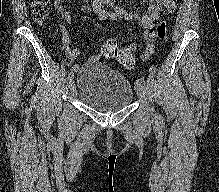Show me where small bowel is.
I'll list each match as a JSON object with an SVG mask.
<instances>
[{
  "instance_id": "obj_1",
  "label": "small bowel",
  "mask_w": 219,
  "mask_h": 192,
  "mask_svg": "<svg viewBox=\"0 0 219 192\" xmlns=\"http://www.w3.org/2000/svg\"><path fill=\"white\" fill-rule=\"evenodd\" d=\"M110 0H96L94 3V10L100 16L102 20H119L124 19L130 22H136L139 28L143 31V36L147 42L152 40V30L155 22L159 19L161 14L172 13L176 9L174 0H149V5L146 7L144 14L138 16L137 14L128 11L122 7H116L115 12H107L103 9L104 3H109ZM54 7L60 14L63 21L67 24H71V13L64 6L62 0H54ZM60 31L62 33V47L65 51L66 58L69 62H74L79 56L80 51L77 49H71L70 45L73 42V38L68 29L61 24ZM152 52L146 51L142 57L148 59ZM90 61L96 60L95 57H91ZM77 65L73 66L76 70Z\"/></svg>"
}]
</instances>
